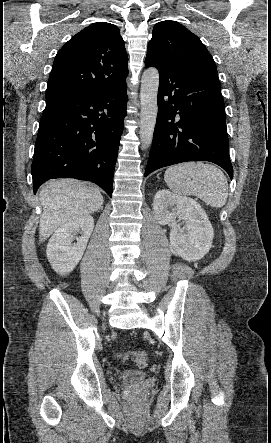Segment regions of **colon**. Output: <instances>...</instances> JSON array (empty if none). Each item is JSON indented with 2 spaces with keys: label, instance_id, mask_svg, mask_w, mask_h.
<instances>
[{
  "label": "colon",
  "instance_id": "obj_1",
  "mask_svg": "<svg viewBox=\"0 0 271 443\" xmlns=\"http://www.w3.org/2000/svg\"><path fill=\"white\" fill-rule=\"evenodd\" d=\"M129 356H133L135 362L139 367H146L149 362V357L145 352L137 351L132 354H120L118 357L126 360Z\"/></svg>",
  "mask_w": 271,
  "mask_h": 443
}]
</instances>
